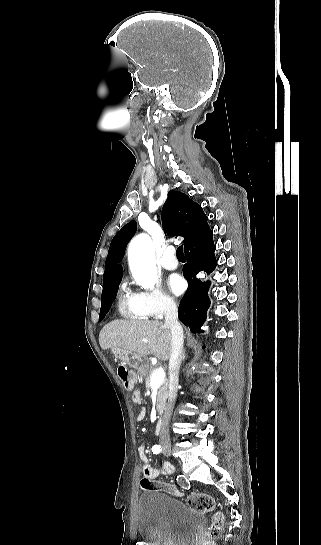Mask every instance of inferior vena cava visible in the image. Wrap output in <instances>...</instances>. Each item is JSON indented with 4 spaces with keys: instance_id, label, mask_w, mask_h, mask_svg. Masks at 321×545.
I'll return each mask as SVG.
<instances>
[{
    "instance_id": "602c4592",
    "label": "inferior vena cava",
    "mask_w": 321,
    "mask_h": 545,
    "mask_svg": "<svg viewBox=\"0 0 321 545\" xmlns=\"http://www.w3.org/2000/svg\"><path fill=\"white\" fill-rule=\"evenodd\" d=\"M165 323L166 327L171 329V357L169 359V393L168 403L165 409V413L161 419L160 427V447L163 450L171 449V442L169 437V421L171 419V413L173 405L176 399V393L179 385V369L180 363L183 357V329L178 323L177 317V305L172 299H168L165 303ZM162 444V445H161Z\"/></svg>"
}]
</instances>
